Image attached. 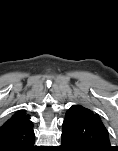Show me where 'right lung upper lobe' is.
I'll return each instance as SVG.
<instances>
[{"instance_id":"obj_1","label":"right lung upper lobe","mask_w":118,"mask_h":151,"mask_svg":"<svg viewBox=\"0 0 118 151\" xmlns=\"http://www.w3.org/2000/svg\"><path fill=\"white\" fill-rule=\"evenodd\" d=\"M33 122L24 111L16 112L0 127V151H20L34 142Z\"/></svg>"}]
</instances>
